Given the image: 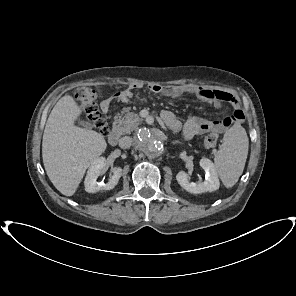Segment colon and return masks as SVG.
I'll list each match as a JSON object with an SVG mask.
<instances>
[{
	"mask_svg": "<svg viewBox=\"0 0 296 296\" xmlns=\"http://www.w3.org/2000/svg\"><path fill=\"white\" fill-rule=\"evenodd\" d=\"M99 91L90 87H82L76 91V98L81 113L97 128L100 132L105 133L107 127L102 117L97 98ZM218 134L208 133L203 139V145L207 148H213L218 143Z\"/></svg>",
	"mask_w": 296,
	"mask_h": 296,
	"instance_id": "1",
	"label": "colon"
}]
</instances>
